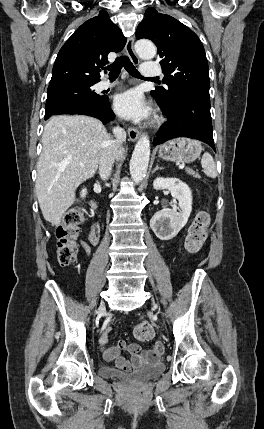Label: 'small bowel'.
Returning a JSON list of instances; mask_svg holds the SVG:
<instances>
[{
	"label": "small bowel",
	"instance_id": "1",
	"mask_svg": "<svg viewBox=\"0 0 264 429\" xmlns=\"http://www.w3.org/2000/svg\"><path fill=\"white\" fill-rule=\"evenodd\" d=\"M100 238V227L97 224L92 225L88 233V242L80 241L82 248L85 250L87 255L91 254V245H96ZM110 329H106L100 337V345L102 346V353L106 360L114 361L116 366L122 370L128 371L133 368H140L144 364H153L163 353V346L160 342H156L152 348L142 350L137 344H127L125 342H119L117 345L111 347H105L108 341V335ZM123 350L128 351L131 354V360L128 361L121 355Z\"/></svg>",
	"mask_w": 264,
	"mask_h": 429
}]
</instances>
